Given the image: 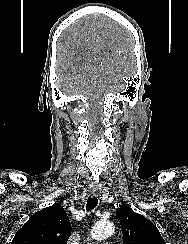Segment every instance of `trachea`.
<instances>
[{
    "label": "trachea",
    "instance_id": "1",
    "mask_svg": "<svg viewBox=\"0 0 188 244\" xmlns=\"http://www.w3.org/2000/svg\"><path fill=\"white\" fill-rule=\"evenodd\" d=\"M98 204V198L97 197H90L87 200V204H86V210L87 211H91L93 210Z\"/></svg>",
    "mask_w": 188,
    "mask_h": 244
}]
</instances>
